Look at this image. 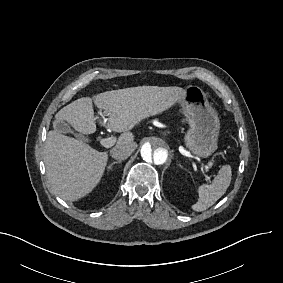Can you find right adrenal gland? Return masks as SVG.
Listing matches in <instances>:
<instances>
[{
  "label": "right adrenal gland",
  "instance_id": "1",
  "mask_svg": "<svg viewBox=\"0 0 283 283\" xmlns=\"http://www.w3.org/2000/svg\"><path fill=\"white\" fill-rule=\"evenodd\" d=\"M122 161H117V162H113L111 163V165L108 167V169H112V167L115 165V164H121Z\"/></svg>",
  "mask_w": 283,
  "mask_h": 283
}]
</instances>
